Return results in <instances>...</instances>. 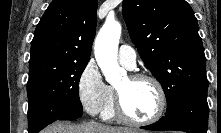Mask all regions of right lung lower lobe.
Returning a JSON list of instances; mask_svg holds the SVG:
<instances>
[{
    "label": "right lung lower lobe",
    "instance_id": "1",
    "mask_svg": "<svg viewBox=\"0 0 221 133\" xmlns=\"http://www.w3.org/2000/svg\"><path fill=\"white\" fill-rule=\"evenodd\" d=\"M83 109L67 106L61 109L29 104L28 123L29 133H38L56 120H75L82 116Z\"/></svg>",
    "mask_w": 221,
    "mask_h": 133
}]
</instances>
